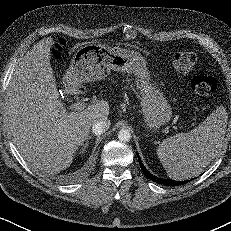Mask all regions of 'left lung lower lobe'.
Instances as JSON below:
<instances>
[{
  "instance_id": "0a47b994",
  "label": "left lung lower lobe",
  "mask_w": 231,
  "mask_h": 231,
  "mask_svg": "<svg viewBox=\"0 0 231 231\" xmlns=\"http://www.w3.org/2000/svg\"><path fill=\"white\" fill-rule=\"evenodd\" d=\"M138 160H139V164H140V167H141V170L143 171L144 175L156 182V183H159V184H163V185H166V186H178V185H182V184H185L187 181H174V180H170V179H165V178H159L157 176H154L152 175L146 168L145 166L143 165L140 157L138 156Z\"/></svg>"
}]
</instances>
